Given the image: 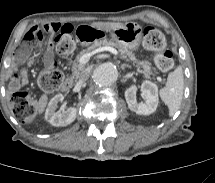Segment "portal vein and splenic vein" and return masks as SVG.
Masks as SVG:
<instances>
[{"instance_id":"portal-vein-and-splenic-vein-1","label":"portal vein and splenic vein","mask_w":215,"mask_h":183,"mask_svg":"<svg viewBox=\"0 0 215 183\" xmlns=\"http://www.w3.org/2000/svg\"><path fill=\"white\" fill-rule=\"evenodd\" d=\"M102 51H109V52H111V53L114 54V55H119L118 51H117L116 49H114L113 47H110V46H103V47H99V48L95 49V50L92 51V52H89V53L84 54V55L81 57V59H80L81 63L86 64V63L90 60V57H91L93 54L98 53V52H102ZM137 71H138L139 73H144V71H143V70H140V69H137ZM157 79H158L159 81H161V79H160L159 77H157Z\"/></svg>"}]
</instances>
